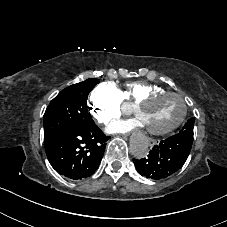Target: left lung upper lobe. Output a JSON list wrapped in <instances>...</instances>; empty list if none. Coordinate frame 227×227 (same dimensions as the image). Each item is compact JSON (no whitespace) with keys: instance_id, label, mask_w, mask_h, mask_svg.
Instances as JSON below:
<instances>
[{"instance_id":"1","label":"left lung upper lobe","mask_w":227,"mask_h":227,"mask_svg":"<svg viewBox=\"0 0 227 227\" xmlns=\"http://www.w3.org/2000/svg\"><path fill=\"white\" fill-rule=\"evenodd\" d=\"M195 118H190L187 123L183 126V128L179 131V135L183 136H193V128H194Z\"/></svg>"}]
</instances>
